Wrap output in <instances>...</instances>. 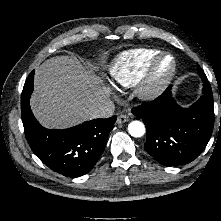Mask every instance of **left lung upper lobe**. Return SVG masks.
Returning a JSON list of instances; mask_svg holds the SVG:
<instances>
[{"label":"left lung upper lobe","mask_w":221,"mask_h":221,"mask_svg":"<svg viewBox=\"0 0 221 221\" xmlns=\"http://www.w3.org/2000/svg\"><path fill=\"white\" fill-rule=\"evenodd\" d=\"M197 66H198V72H202V69L199 68V65H197Z\"/></svg>","instance_id":"left-lung-upper-lobe-1"}]
</instances>
